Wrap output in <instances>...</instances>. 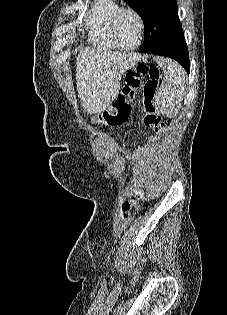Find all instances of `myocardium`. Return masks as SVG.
Segmentation results:
<instances>
[{"instance_id": "f54148a6", "label": "myocardium", "mask_w": 227, "mask_h": 315, "mask_svg": "<svg viewBox=\"0 0 227 315\" xmlns=\"http://www.w3.org/2000/svg\"><path fill=\"white\" fill-rule=\"evenodd\" d=\"M125 13H131L137 20L138 22V28H139V37H138V41L135 45L133 46H123L117 39L116 33H115V28L116 25L119 21V19L121 18V16ZM144 33H145V22L144 19L142 17V15L140 14V12L138 10H136L133 7H129V6H124V7H120L115 14L113 15L111 22H110V27H109V34H110V38L112 40V42L115 44L116 47L125 50V51H133L138 49L143 41H144Z\"/></svg>"}]
</instances>
